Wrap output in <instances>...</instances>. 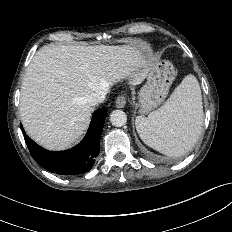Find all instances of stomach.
Returning <instances> with one entry per match:
<instances>
[{"mask_svg":"<svg viewBox=\"0 0 232 232\" xmlns=\"http://www.w3.org/2000/svg\"><path fill=\"white\" fill-rule=\"evenodd\" d=\"M175 79V69L168 60H157L151 65L146 84L138 92L141 113L157 108L166 98Z\"/></svg>","mask_w":232,"mask_h":232,"instance_id":"stomach-1","label":"stomach"}]
</instances>
